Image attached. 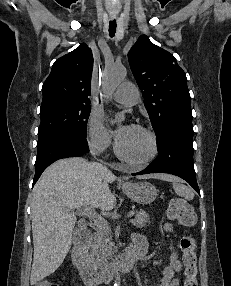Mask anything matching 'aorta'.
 <instances>
[{"label":"aorta","instance_id":"obj_1","mask_svg":"<svg viewBox=\"0 0 231 286\" xmlns=\"http://www.w3.org/2000/svg\"><path fill=\"white\" fill-rule=\"evenodd\" d=\"M126 76V68L122 65H112L105 69L102 76V88L106 95H110ZM124 119L123 113L115 116L114 123H119ZM120 279L117 273L114 286H119Z\"/></svg>","mask_w":231,"mask_h":286}]
</instances>
